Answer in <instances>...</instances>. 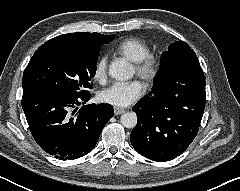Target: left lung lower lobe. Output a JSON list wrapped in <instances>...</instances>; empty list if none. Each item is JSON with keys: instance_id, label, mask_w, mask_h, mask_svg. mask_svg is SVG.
<instances>
[{"instance_id": "left-lung-lower-lobe-1", "label": "left lung lower lobe", "mask_w": 240, "mask_h": 191, "mask_svg": "<svg viewBox=\"0 0 240 191\" xmlns=\"http://www.w3.org/2000/svg\"><path fill=\"white\" fill-rule=\"evenodd\" d=\"M205 104L203 72L180 75L177 81L134 105L138 124L130 135L132 146L154 161L174 159L196 137Z\"/></svg>"}]
</instances>
